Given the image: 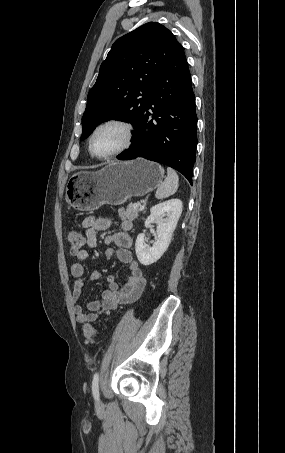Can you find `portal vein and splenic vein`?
Instances as JSON below:
<instances>
[{
  "label": "portal vein and splenic vein",
  "mask_w": 285,
  "mask_h": 453,
  "mask_svg": "<svg viewBox=\"0 0 285 453\" xmlns=\"http://www.w3.org/2000/svg\"><path fill=\"white\" fill-rule=\"evenodd\" d=\"M133 207H134V208H138V207H139V203L133 204Z\"/></svg>",
  "instance_id": "18ae733b"
}]
</instances>
